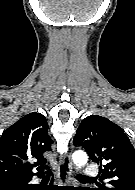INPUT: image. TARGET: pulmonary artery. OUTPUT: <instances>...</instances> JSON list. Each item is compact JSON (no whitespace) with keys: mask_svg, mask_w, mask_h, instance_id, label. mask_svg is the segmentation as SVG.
Masks as SVG:
<instances>
[{"mask_svg":"<svg viewBox=\"0 0 135 190\" xmlns=\"http://www.w3.org/2000/svg\"><path fill=\"white\" fill-rule=\"evenodd\" d=\"M98 175V169L95 165H87L84 168V176L87 178H94Z\"/></svg>","mask_w":135,"mask_h":190,"instance_id":"1","label":"pulmonary artery"}]
</instances>
